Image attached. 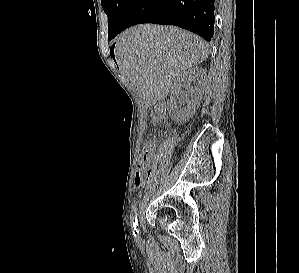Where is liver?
Wrapping results in <instances>:
<instances>
[{
    "label": "liver",
    "mask_w": 299,
    "mask_h": 273,
    "mask_svg": "<svg viewBox=\"0 0 299 273\" xmlns=\"http://www.w3.org/2000/svg\"><path fill=\"white\" fill-rule=\"evenodd\" d=\"M199 36L178 27L142 24L121 33L115 56L119 68L148 104L167 97L174 80L208 57Z\"/></svg>",
    "instance_id": "1"
}]
</instances>
